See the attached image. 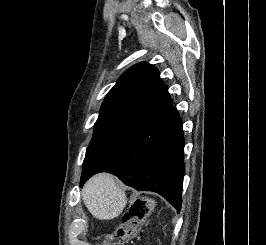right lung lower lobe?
Masks as SVG:
<instances>
[{
    "label": "right lung lower lobe",
    "mask_w": 266,
    "mask_h": 245,
    "mask_svg": "<svg viewBox=\"0 0 266 245\" xmlns=\"http://www.w3.org/2000/svg\"><path fill=\"white\" fill-rule=\"evenodd\" d=\"M184 137L175 108L146 120L82 172L81 186L98 172H110L138 191L162 195L179 212L183 187Z\"/></svg>",
    "instance_id": "right-lung-lower-lobe-1"
}]
</instances>
